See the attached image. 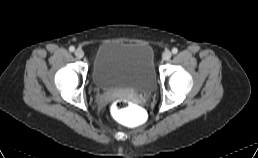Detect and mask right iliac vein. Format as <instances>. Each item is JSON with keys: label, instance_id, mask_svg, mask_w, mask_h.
<instances>
[{"label": "right iliac vein", "instance_id": "right-iliac-vein-1", "mask_svg": "<svg viewBox=\"0 0 258 158\" xmlns=\"http://www.w3.org/2000/svg\"><path fill=\"white\" fill-rule=\"evenodd\" d=\"M74 54H75V56H76L78 59H80V58H82V57L84 56V52H83L82 49H77V50H75Z\"/></svg>", "mask_w": 258, "mask_h": 158}]
</instances>
